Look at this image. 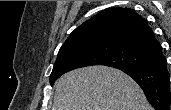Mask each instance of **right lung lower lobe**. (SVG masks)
Here are the masks:
<instances>
[{
	"label": "right lung lower lobe",
	"instance_id": "98d812e1",
	"mask_svg": "<svg viewBox=\"0 0 171 110\" xmlns=\"http://www.w3.org/2000/svg\"><path fill=\"white\" fill-rule=\"evenodd\" d=\"M121 70L140 85L155 110H169L171 100L170 74L167 70V61L162 49L151 64L137 69L127 68Z\"/></svg>",
	"mask_w": 171,
	"mask_h": 110
}]
</instances>
